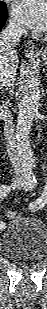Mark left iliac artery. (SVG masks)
<instances>
[{"label":"left iliac artery","instance_id":"obj_1","mask_svg":"<svg viewBox=\"0 0 47 309\" xmlns=\"http://www.w3.org/2000/svg\"><path fill=\"white\" fill-rule=\"evenodd\" d=\"M35 184H36V182H35ZM46 202H47V196H46V193H44L35 202L30 204V206H29L30 210H32V211L39 210L40 208H42L46 204Z\"/></svg>","mask_w":47,"mask_h":309}]
</instances>
